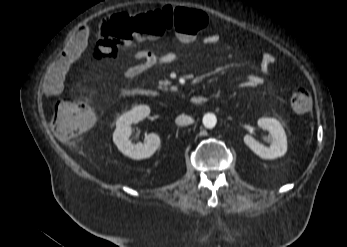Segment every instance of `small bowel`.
<instances>
[{
	"mask_svg": "<svg viewBox=\"0 0 347 247\" xmlns=\"http://www.w3.org/2000/svg\"><path fill=\"white\" fill-rule=\"evenodd\" d=\"M88 41V32L85 27L79 29L71 37L68 47L63 54L53 61L47 69V85L48 91L52 94L60 90V77L68 68L74 55L79 54L85 47ZM220 41L218 34H209L204 38V43L208 45L217 44ZM133 57L137 62L123 69L122 75L126 79H133L142 73L146 72L156 63L170 64L177 59L174 52H166L157 56L150 50H138ZM275 57L269 52H262L260 55V72L261 74L253 73L248 75L244 80V85L247 87H258L264 83V76L270 75L275 66Z\"/></svg>",
	"mask_w": 347,
	"mask_h": 247,
	"instance_id": "c3829d8e",
	"label": "small bowel"
}]
</instances>
